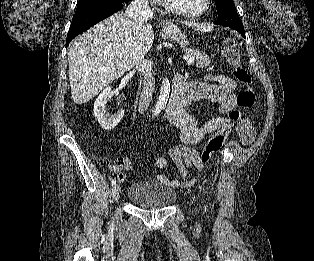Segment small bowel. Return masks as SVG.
<instances>
[{
    "instance_id": "obj_1",
    "label": "small bowel",
    "mask_w": 314,
    "mask_h": 261,
    "mask_svg": "<svg viewBox=\"0 0 314 261\" xmlns=\"http://www.w3.org/2000/svg\"><path fill=\"white\" fill-rule=\"evenodd\" d=\"M186 85L193 93V99H204L218 103L223 115L213 117L202 125H199L196 119L185 111L178 113L171 119V122L181 132L182 144L170 149L169 158L176 167L181 180L163 174L158 175V180L173 188L191 183L189 168L197 167L201 171L207 169L204 164L198 163V153L191 149L190 146L201 143L207 135L220 129L228 121L225 115L230 113L236 106L235 92L237 84L229 76L207 75L203 81L191 83L186 81ZM237 123L242 143L244 145L251 144L255 135L251 121L242 119ZM155 165L158 169H165L168 165V159L159 157L156 159ZM109 169L117 174L119 183L123 184L127 179L125 171L132 169V161L128 157L118 158L109 165Z\"/></svg>"
}]
</instances>
